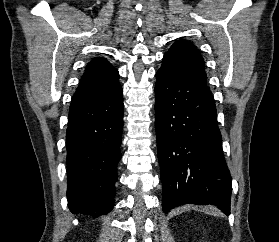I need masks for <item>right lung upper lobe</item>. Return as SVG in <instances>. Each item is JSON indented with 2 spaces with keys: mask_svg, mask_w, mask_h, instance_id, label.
<instances>
[{
  "mask_svg": "<svg viewBox=\"0 0 279 242\" xmlns=\"http://www.w3.org/2000/svg\"><path fill=\"white\" fill-rule=\"evenodd\" d=\"M118 77V71L108 60L101 57L94 58L86 66L72 101L88 99L109 92L120 85Z\"/></svg>",
  "mask_w": 279,
  "mask_h": 242,
  "instance_id": "1",
  "label": "right lung upper lobe"
}]
</instances>
